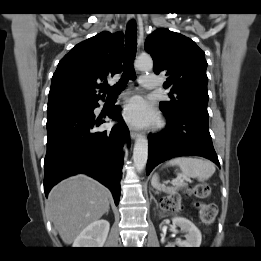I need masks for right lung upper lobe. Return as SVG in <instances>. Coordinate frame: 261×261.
Returning <instances> with one entry per match:
<instances>
[{"label": "right lung upper lobe", "instance_id": "cb5924a9", "mask_svg": "<svg viewBox=\"0 0 261 261\" xmlns=\"http://www.w3.org/2000/svg\"><path fill=\"white\" fill-rule=\"evenodd\" d=\"M124 36L103 31L72 48L59 62L52 77L49 100L103 98L107 78L121 71Z\"/></svg>", "mask_w": 261, "mask_h": 261}]
</instances>
